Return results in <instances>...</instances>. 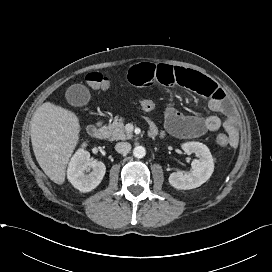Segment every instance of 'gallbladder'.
<instances>
[{
    "instance_id": "obj_1",
    "label": "gallbladder",
    "mask_w": 272,
    "mask_h": 272,
    "mask_svg": "<svg viewBox=\"0 0 272 272\" xmlns=\"http://www.w3.org/2000/svg\"><path fill=\"white\" fill-rule=\"evenodd\" d=\"M66 99L70 105L83 106L89 102L90 92L86 86L74 84L67 89Z\"/></svg>"
}]
</instances>
